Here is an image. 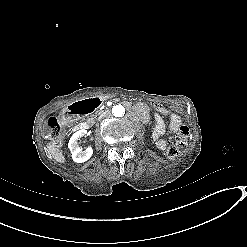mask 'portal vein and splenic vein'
I'll list each match as a JSON object with an SVG mask.
<instances>
[{
  "instance_id": "1",
  "label": "portal vein and splenic vein",
  "mask_w": 247,
  "mask_h": 247,
  "mask_svg": "<svg viewBox=\"0 0 247 247\" xmlns=\"http://www.w3.org/2000/svg\"><path fill=\"white\" fill-rule=\"evenodd\" d=\"M103 109H105V106L99 107V110H103Z\"/></svg>"
}]
</instances>
